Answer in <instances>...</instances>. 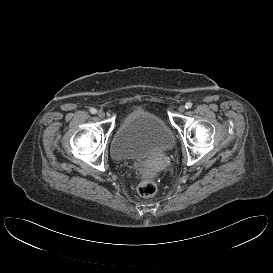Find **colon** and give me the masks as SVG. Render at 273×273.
<instances>
[{"label":"colon","mask_w":273,"mask_h":273,"mask_svg":"<svg viewBox=\"0 0 273 273\" xmlns=\"http://www.w3.org/2000/svg\"><path fill=\"white\" fill-rule=\"evenodd\" d=\"M158 184L153 173H144L138 186V193L144 198L152 197L156 194Z\"/></svg>","instance_id":"5ec220e1"}]
</instances>
